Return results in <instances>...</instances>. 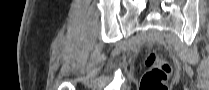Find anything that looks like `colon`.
<instances>
[{"mask_svg":"<svg viewBox=\"0 0 209 90\" xmlns=\"http://www.w3.org/2000/svg\"><path fill=\"white\" fill-rule=\"evenodd\" d=\"M145 66L146 71L141 78L139 90H169L171 66L168 61L156 53H149Z\"/></svg>","mask_w":209,"mask_h":90,"instance_id":"1","label":"colon"}]
</instances>
